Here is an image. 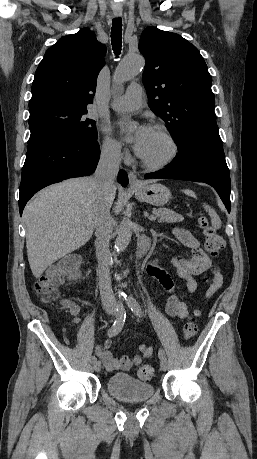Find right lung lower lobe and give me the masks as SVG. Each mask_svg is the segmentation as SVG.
I'll return each instance as SVG.
<instances>
[{
	"mask_svg": "<svg viewBox=\"0 0 257 459\" xmlns=\"http://www.w3.org/2000/svg\"><path fill=\"white\" fill-rule=\"evenodd\" d=\"M99 157L97 140L75 139L44 131L31 133L21 176L20 215L28 200L40 189L64 179L93 173ZM118 179L123 187L128 184L124 170L119 171Z\"/></svg>",
	"mask_w": 257,
	"mask_h": 459,
	"instance_id": "1",
	"label": "right lung lower lobe"
}]
</instances>
